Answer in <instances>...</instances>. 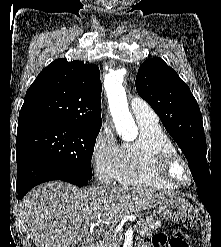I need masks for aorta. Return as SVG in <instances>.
<instances>
[{
    "instance_id": "obj_1",
    "label": "aorta",
    "mask_w": 221,
    "mask_h": 247,
    "mask_svg": "<svg viewBox=\"0 0 221 247\" xmlns=\"http://www.w3.org/2000/svg\"><path fill=\"white\" fill-rule=\"evenodd\" d=\"M125 70L112 71L105 76L104 88L107 93L109 108L119 135L132 137L137 134V127L129 112L126 92L122 85Z\"/></svg>"
}]
</instances>
